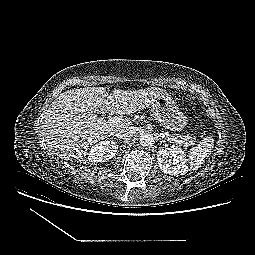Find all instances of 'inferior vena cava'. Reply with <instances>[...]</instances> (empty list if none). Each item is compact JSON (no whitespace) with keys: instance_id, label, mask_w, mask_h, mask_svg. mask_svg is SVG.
I'll return each mask as SVG.
<instances>
[{"instance_id":"1","label":"inferior vena cava","mask_w":255,"mask_h":255,"mask_svg":"<svg viewBox=\"0 0 255 255\" xmlns=\"http://www.w3.org/2000/svg\"><path fill=\"white\" fill-rule=\"evenodd\" d=\"M135 133V129L132 126L125 127V128H120L116 130L115 136L117 138L123 139V138H128L132 136Z\"/></svg>"}]
</instances>
